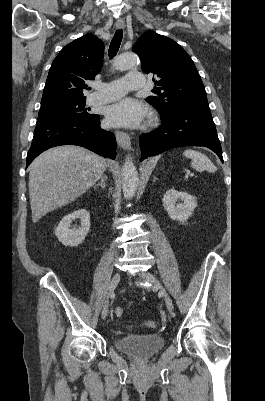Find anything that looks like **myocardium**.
<instances>
[{"label": "myocardium", "instance_id": "f54148a6", "mask_svg": "<svg viewBox=\"0 0 265 401\" xmlns=\"http://www.w3.org/2000/svg\"><path fill=\"white\" fill-rule=\"evenodd\" d=\"M150 119H151V121H154V120H156V116L154 114H151Z\"/></svg>", "mask_w": 265, "mask_h": 401}]
</instances>
